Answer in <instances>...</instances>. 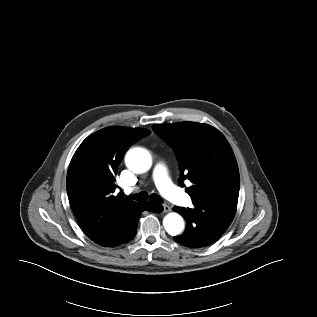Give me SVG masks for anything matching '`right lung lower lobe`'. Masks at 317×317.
Listing matches in <instances>:
<instances>
[{"instance_id":"right-lung-lower-lobe-1","label":"right lung lower lobe","mask_w":317,"mask_h":317,"mask_svg":"<svg viewBox=\"0 0 317 317\" xmlns=\"http://www.w3.org/2000/svg\"><path fill=\"white\" fill-rule=\"evenodd\" d=\"M143 211H150L160 213L163 207L160 204L151 202L137 203L127 214L124 216L115 231H105L100 223H89L82 226L84 233L95 243L103 247H114L132 240L137 231L138 220Z\"/></svg>"}]
</instances>
